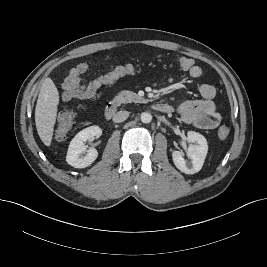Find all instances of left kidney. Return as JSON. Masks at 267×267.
<instances>
[{
  "label": "left kidney",
  "mask_w": 267,
  "mask_h": 267,
  "mask_svg": "<svg viewBox=\"0 0 267 267\" xmlns=\"http://www.w3.org/2000/svg\"><path fill=\"white\" fill-rule=\"evenodd\" d=\"M187 140L190 145L187 149V157L189 161H186L182 152L173 151L172 158L175 166L185 174H194L201 170L204 160L208 152V144L206 138L194 131L187 133Z\"/></svg>",
  "instance_id": "1"
}]
</instances>
